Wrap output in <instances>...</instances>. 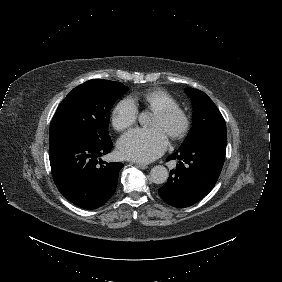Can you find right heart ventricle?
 Returning <instances> with one entry per match:
<instances>
[{"label": "right heart ventricle", "instance_id": "obj_1", "mask_svg": "<svg viewBox=\"0 0 282 282\" xmlns=\"http://www.w3.org/2000/svg\"><path fill=\"white\" fill-rule=\"evenodd\" d=\"M142 100L147 109L151 111H156L163 107H177L176 101L173 97L163 90H153L142 95ZM138 97H132L129 99L135 108L138 106Z\"/></svg>", "mask_w": 282, "mask_h": 282}]
</instances>
